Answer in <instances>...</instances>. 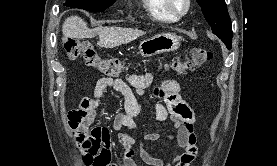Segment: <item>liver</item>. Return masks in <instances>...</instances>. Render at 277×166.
I'll return each instance as SVG.
<instances>
[{
    "label": "liver",
    "mask_w": 277,
    "mask_h": 166,
    "mask_svg": "<svg viewBox=\"0 0 277 166\" xmlns=\"http://www.w3.org/2000/svg\"><path fill=\"white\" fill-rule=\"evenodd\" d=\"M62 32L64 37L75 39L92 38L99 35L97 45L104 48H114L129 43L145 34L142 30L121 27L99 26L90 29L87 23L78 16L68 17L62 25Z\"/></svg>",
    "instance_id": "obj_1"
}]
</instances>
